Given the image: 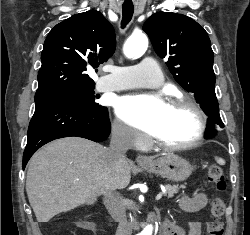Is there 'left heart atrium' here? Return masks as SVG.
I'll return each mask as SVG.
<instances>
[{
	"label": "left heart atrium",
	"mask_w": 250,
	"mask_h": 235,
	"mask_svg": "<svg viewBox=\"0 0 250 235\" xmlns=\"http://www.w3.org/2000/svg\"><path fill=\"white\" fill-rule=\"evenodd\" d=\"M166 107L157 96H125L119 99L116 110L123 120L152 134Z\"/></svg>",
	"instance_id": "obj_1"
}]
</instances>
